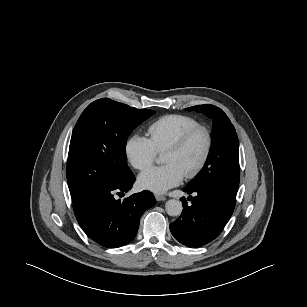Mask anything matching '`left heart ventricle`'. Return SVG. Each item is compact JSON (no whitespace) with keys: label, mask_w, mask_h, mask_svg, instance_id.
<instances>
[{"label":"left heart ventricle","mask_w":307,"mask_h":307,"mask_svg":"<svg viewBox=\"0 0 307 307\" xmlns=\"http://www.w3.org/2000/svg\"><path fill=\"white\" fill-rule=\"evenodd\" d=\"M204 147L205 138L198 133L180 151L163 153L161 160L164 164L176 165L185 174L198 161Z\"/></svg>","instance_id":"1"}]
</instances>
